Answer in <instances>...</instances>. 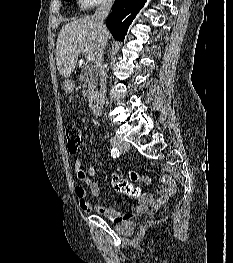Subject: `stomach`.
I'll list each match as a JSON object with an SVG mask.
<instances>
[{"mask_svg":"<svg viewBox=\"0 0 233 263\" xmlns=\"http://www.w3.org/2000/svg\"><path fill=\"white\" fill-rule=\"evenodd\" d=\"M63 87L66 92L70 93L74 89V83L71 80L64 81Z\"/></svg>","mask_w":233,"mask_h":263,"instance_id":"stomach-1","label":"stomach"}]
</instances>
